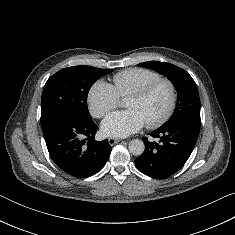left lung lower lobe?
<instances>
[{
  "mask_svg": "<svg viewBox=\"0 0 235 235\" xmlns=\"http://www.w3.org/2000/svg\"><path fill=\"white\" fill-rule=\"evenodd\" d=\"M200 131V123L187 121L158 128L150 135L159 144L143 137L145 150L135 160L136 167L154 178H167L177 172L190 157Z\"/></svg>",
  "mask_w": 235,
  "mask_h": 235,
  "instance_id": "left-lung-lower-lobe-1",
  "label": "left lung lower lobe"
}]
</instances>
